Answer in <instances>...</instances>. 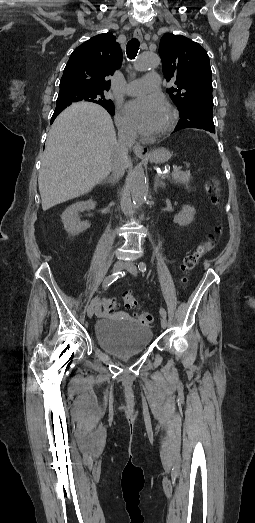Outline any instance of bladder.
Here are the masks:
<instances>
[{
	"label": "bladder",
	"instance_id": "1",
	"mask_svg": "<svg viewBox=\"0 0 255 523\" xmlns=\"http://www.w3.org/2000/svg\"><path fill=\"white\" fill-rule=\"evenodd\" d=\"M126 320L128 322L125 325H119L115 317H103L97 323L94 337L103 350L127 356L151 345L152 329L129 318Z\"/></svg>",
	"mask_w": 255,
	"mask_h": 523
}]
</instances>
